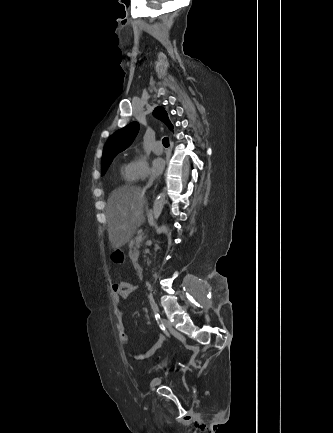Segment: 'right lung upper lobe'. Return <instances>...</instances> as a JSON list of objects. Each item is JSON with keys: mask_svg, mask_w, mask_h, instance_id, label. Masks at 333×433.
Instances as JSON below:
<instances>
[{"mask_svg": "<svg viewBox=\"0 0 333 433\" xmlns=\"http://www.w3.org/2000/svg\"><path fill=\"white\" fill-rule=\"evenodd\" d=\"M154 115L162 120L170 130H173L168 114L163 107H157L154 111ZM139 131V124L133 122L126 127L116 131L107 141L102 156V163L106 162L110 158H114L118 153L125 150L134 141Z\"/></svg>", "mask_w": 333, "mask_h": 433, "instance_id": "1", "label": "right lung upper lobe"}]
</instances>
